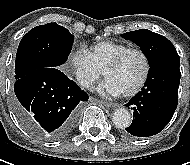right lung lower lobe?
I'll list each match as a JSON object with an SVG mask.
<instances>
[{
  "instance_id": "right-lung-lower-lobe-1",
  "label": "right lung lower lobe",
  "mask_w": 190,
  "mask_h": 165,
  "mask_svg": "<svg viewBox=\"0 0 190 165\" xmlns=\"http://www.w3.org/2000/svg\"><path fill=\"white\" fill-rule=\"evenodd\" d=\"M14 109L23 126L43 140L67 137L75 128L86 92L55 67L34 70L15 81Z\"/></svg>"
}]
</instances>
